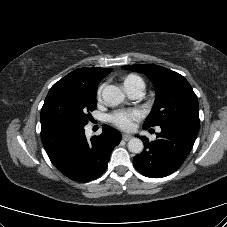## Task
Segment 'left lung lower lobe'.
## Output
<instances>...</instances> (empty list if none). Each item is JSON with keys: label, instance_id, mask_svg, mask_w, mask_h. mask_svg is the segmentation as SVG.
<instances>
[{"label": "left lung lower lobe", "instance_id": "left-lung-lower-lobe-1", "mask_svg": "<svg viewBox=\"0 0 227 227\" xmlns=\"http://www.w3.org/2000/svg\"><path fill=\"white\" fill-rule=\"evenodd\" d=\"M160 127L161 132L157 133L155 141L149 142L148 138L141 137L144 150L133 158L135 168L150 178L175 172L192 150L199 130V124L191 122H171Z\"/></svg>", "mask_w": 227, "mask_h": 227}]
</instances>
